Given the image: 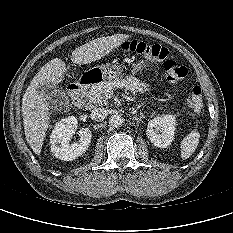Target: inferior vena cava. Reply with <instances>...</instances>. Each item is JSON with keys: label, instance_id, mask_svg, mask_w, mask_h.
I'll return each instance as SVG.
<instances>
[{"label": "inferior vena cava", "instance_id": "602c4592", "mask_svg": "<svg viewBox=\"0 0 233 233\" xmlns=\"http://www.w3.org/2000/svg\"><path fill=\"white\" fill-rule=\"evenodd\" d=\"M90 116L95 121H103L107 116V112L103 108H95L91 111Z\"/></svg>", "mask_w": 233, "mask_h": 233}]
</instances>
